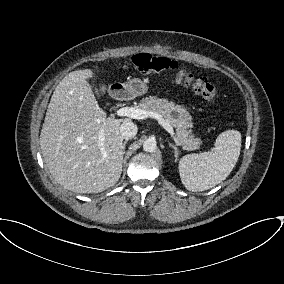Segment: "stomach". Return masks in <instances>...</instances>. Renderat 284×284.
Returning <instances> with one entry per match:
<instances>
[{
    "label": "stomach",
    "instance_id": "stomach-1",
    "mask_svg": "<svg viewBox=\"0 0 284 284\" xmlns=\"http://www.w3.org/2000/svg\"><path fill=\"white\" fill-rule=\"evenodd\" d=\"M115 89H123L130 98L141 96L147 93L148 86L145 81L139 78H133L125 83L113 85Z\"/></svg>",
    "mask_w": 284,
    "mask_h": 284
}]
</instances>
